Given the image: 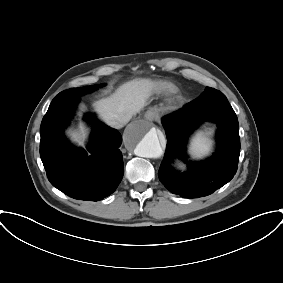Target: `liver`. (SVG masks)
<instances>
[{"label":"liver","mask_w":283,"mask_h":283,"mask_svg":"<svg viewBox=\"0 0 283 283\" xmlns=\"http://www.w3.org/2000/svg\"><path fill=\"white\" fill-rule=\"evenodd\" d=\"M154 84L150 80L140 79L129 81L118 88L109 98L95 103L96 110L105 122L111 120L125 121L126 123L147 104ZM72 138L83 144L85 137L84 127L80 125V132H73Z\"/></svg>","instance_id":"1"}]
</instances>
